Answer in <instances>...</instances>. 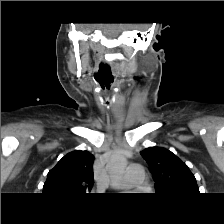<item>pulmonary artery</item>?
<instances>
[{
	"instance_id": "1",
	"label": "pulmonary artery",
	"mask_w": 224,
	"mask_h": 224,
	"mask_svg": "<svg viewBox=\"0 0 224 224\" xmlns=\"http://www.w3.org/2000/svg\"><path fill=\"white\" fill-rule=\"evenodd\" d=\"M144 182V171L137 165L132 164L127 167L125 176L118 187H139L143 185Z\"/></svg>"
}]
</instances>
